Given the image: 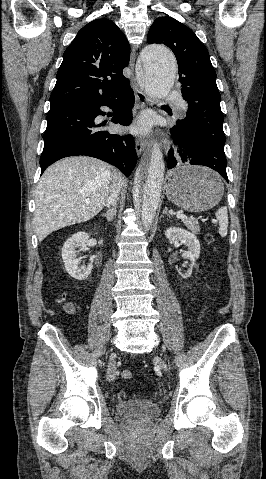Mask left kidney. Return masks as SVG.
Returning <instances> with one entry per match:
<instances>
[{
    "label": "left kidney",
    "mask_w": 266,
    "mask_h": 479,
    "mask_svg": "<svg viewBox=\"0 0 266 479\" xmlns=\"http://www.w3.org/2000/svg\"><path fill=\"white\" fill-rule=\"evenodd\" d=\"M165 236L168 238V240L173 243L176 240H179L182 244L187 246L188 250L184 252L183 256L184 258H187L190 260L191 264L189 266V269L187 272H182L181 270H178V273L180 276L184 279L190 277L192 273V267L195 264V261L199 258L200 255V243L195 234L182 229V228H176V227H170L165 231Z\"/></svg>",
    "instance_id": "5707ae66"
}]
</instances>
